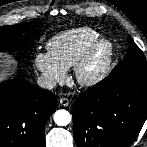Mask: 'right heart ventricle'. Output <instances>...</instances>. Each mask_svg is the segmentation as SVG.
Wrapping results in <instances>:
<instances>
[{
  "label": "right heart ventricle",
  "instance_id": "e07e8e85",
  "mask_svg": "<svg viewBox=\"0 0 147 147\" xmlns=\"http://www.w3.org/2000/svg\"><path fill=\"white\" fill-rule=\"evenodd\" d=\"M99 33L89 27L61 32L47 42L48 53L64 68L74 67L84 51Z\"/></svg>",
  "mask_w": 147,
  "mask_h": 147
}]
</instances>
